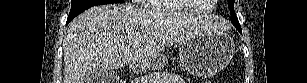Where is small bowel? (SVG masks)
<instances>
[{"mask_svg": "<svg viewBox=\"0 0 307 83\" xmlns=\"http://www.w3.org/2000/svg\"><path fill=\"white\" fill-rule=\"evenodd\" d=\"M183 81L178 75L173 73H161L156 83H182Z\"/></svg>", "mask_w": 307, "mask_h": 83, "instance_id": "c3829d8e", "label": "small bowel"}]
</instances>
